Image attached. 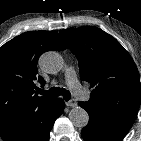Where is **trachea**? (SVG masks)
<instances>
[{
	"mask_svg": "<svg viewBox=\"0 0 141 141\" xmlns=\"http://www.w3.org/2000/svg\"><path fill=\"white\" fill-rule=\"evenodd\" d=\"M39 94L47 97H56L61 95L65 101H68L71 98V93L68 90L59 87H52L47 91L40 89Z\"/></svg>",
	"mask_w": 141,
	"mask_h": 141,
	"instance_id": "1",
	"label": "trachea"
}]
</instances>
